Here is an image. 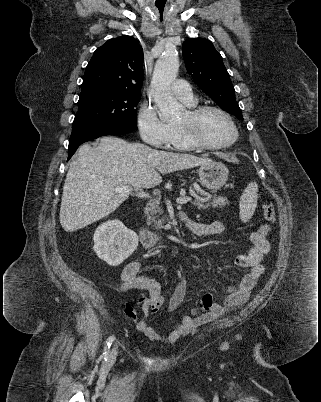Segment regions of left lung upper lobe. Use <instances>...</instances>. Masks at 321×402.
<instances>
[{
	"label": "left lung upper lobe",
	"instance_id": "1",
	"mask_svg": "<svg viewBox=\"0 0 321 402\" xmlns=\"http://www.w3.org/2000/svg\"><path fill=\"white\" fill-rule=\"evenodd\" d=\"M182 53L186 69L199 88L223 110L243 119L229 74L212 42L190 38L183 43Z\"/></svg>",
	"mask_w": 321,
	"mask_h": 402
}]
</instances>
